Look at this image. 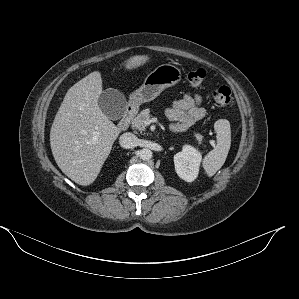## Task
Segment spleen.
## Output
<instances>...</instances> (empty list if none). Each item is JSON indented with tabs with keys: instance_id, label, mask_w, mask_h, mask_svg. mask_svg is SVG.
Here are the masks:
<instances>
[{
	"instance_id": "spleen-1",
	"label": "spleen",
	"mask_w": 299,
	"mask_h": 299,
	"mask_svg": "<svg viewBox=\"0 0 299 299\" xmlns=\"http://www.w3.org/2000/svg\"><path fill=\"white\" fill-rule=\"evenodd\" d=\"M217 145L203 159V168L209 177L213 176L225 163L231 145V128L226 119L214 124Z\"/></svg>"
}]
</instances>
